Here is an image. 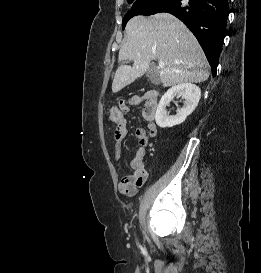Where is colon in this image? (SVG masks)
<instances>
[{
    "label": "colon",
    "instance_id": "5ec220e1",
    "mask_svg": "<svg viewBox=\"0 0 261 273\" xmlns=\"http://www.w3.org/2000/svg\"><path fill=\"white\" fill-rule=\"evenodd\" d=\"M127 109V102L121 101L120 107H111L108 112L109 119L114 122L118 123L124 118L123 111Z\"/></svg>",
    "mask_w": 261,
    "mask_h": 273
}]
</instances>
